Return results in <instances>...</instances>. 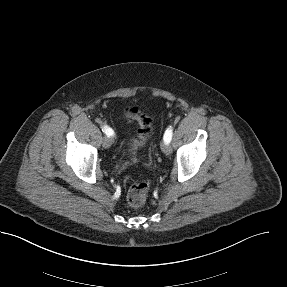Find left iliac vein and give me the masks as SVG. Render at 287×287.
I'll return each instance as SVG.
<instances>
[{
  "mask_svg": "<svg viewBox=\"0 0 287 287\" xmlns=\"http://www.w3.org/2000/svg\"><path fill=\"white\" fill-rule=\"evenodd\" d=\"M161 149H162L163 153L166 154V155H169V154H171V152H172V148H171V146L169 145V143L163 142V143L161 144Z\"/></svg>",
  "mask_w": 287,
  "mask_h": 287,
  "instance_id": "left-iliac-vein-1",
  "label": "left iliac vein"
}]
</instances>
